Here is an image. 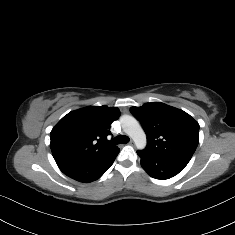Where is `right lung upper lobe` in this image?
<instances>
[{
	"label": "right lung upper lobe",
	"instance_id": "obj_1",
	"mask_svg": "<svg viewBox=\"0 0 235 235\" xmlns=\"http://www.w3.org/2000/svg\"><path fill=\"white\" fill-rule=\"evenodd\" d=\"M120 116L116 107L88 106L65 115L51 131L56 163H98L116 157L120 149L107 136Z\"/></svg>",
	"mask_w": 235,
	"mask_h": 235
}]
</instances>
